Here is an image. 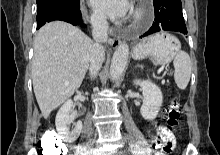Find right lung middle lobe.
Listing matches in <instances>:
<instances>
[{
    "instance_id": "right-lung-middle-lobe-1",
    "label": "right lung middle lobe",
    "mask_w": 220,
    "mask_h": 155,
    "mask_svg": "<svg viewBox=\"0 0 220 155\" xmlns=\"http://www.w3.org/2000/svg\"><path fill=\"white\" fill-rule=\"evenodd\" d=\"M37 12H42L44 10L58 7V6H68V7H79L80 0H36Z\"/></svg>"
}]
</instances>
